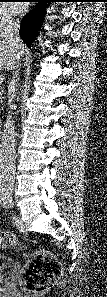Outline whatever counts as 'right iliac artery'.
I'll return each instance as SVG.
<instances>
[{
    "label": "right iliac artery",
    "mask_w": 107,
    "mask_h": 297,
    "mask_svg": "<svg viewBox=\"0 0 107 297\" xmlns=\"http://www.w3.org/2000/svg\"><path fill=\"white\" fill-rule=\"evenodd\" d=\"M3 195H4L5 199H6V195L5 194H3Z\"/></svg>",
    "instance_id": "82829eb1"
}]
</instances>
